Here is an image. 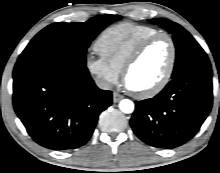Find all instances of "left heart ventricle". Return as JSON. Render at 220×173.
Instances as JSON below:
<instances>
[{
    "instance_id": "b2bd125f",
    "label": "left heart ventricle",
    "mask_w": 220,
    "mask_h": 173,
    "mask_svg": "<svg viewBox=\"0 0 220 173\" xmlns=\"http://www.w3.org/2000/svg\"><path fill=\"white\" fill-rule=\"evenodd\" d=\"M170 55L167 39L152 43L128 73L127 86L135 91H144L157 84L167 70Z\"/></svg>"
}]
</instances>
